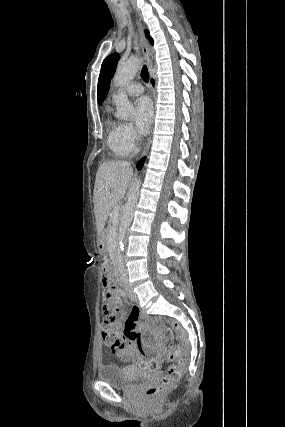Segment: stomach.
I'll return each mask as SVG.
<instances>
[{
  "label": "stomach",
  "mask_w": 285,
  "mask_h": 427,
  "mask_svg": "<svg viewBox=\"0 0 285 427\" xmlns=\"http://www.w3.org/2000/svg\"><path fill=\"white\" fill-rule=\"evenodd\" d=\"M98 249L101 253H105L106 251V240L105 238H100L98 241Z\"/></svg>",
  "instance_id": "1"
}]
</instances>
